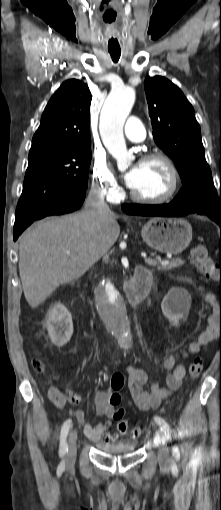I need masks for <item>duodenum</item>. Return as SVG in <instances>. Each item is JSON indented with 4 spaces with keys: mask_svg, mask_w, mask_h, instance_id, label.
I'll use <instances>...</instances> for the list:
<instances>
[{
    "mask_svg": "<svg viewBox=\"0 0 221 510\" xmlns=\"http://www.w3.org/2000/svg\"><path fill=\"white\" fill-rule=\"evenodd\" d=\"M152 276L145 268H138L126 285L125 293L130 306H136L151 288Z\"/></svg>",
    "mask_w": 221,
    "mask_h": 510,
    "instance_id": "410a0bca",
    "label": "duodenum"
}]
</instances>
